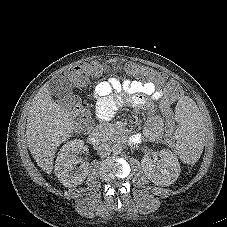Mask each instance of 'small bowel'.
I'll return each mask as SVG.
<instances>
[{
    "mask_svg": "<svg viewBox=\"0 0 227 227\" xmlns=\"http://www.w3.org/2000/svg\"><path fill=\"white\" fill-rule=\"evenodd\" d=\"M94 95L97 99L95 115L101 122L108 121L114 115L122 96L133 105H148V98L158 101L164 95L163 90H158L152 82L139 80H119L111 77L99 82L94 88ZM163 128V119L159 116H152L144 136L149 140H156L160 137Z\"/></svg>",
    "mask_w": 227,
    "mask_h": 227,
    "instance_id": "1",
    "label": "small bowel"
}]
</instances>
